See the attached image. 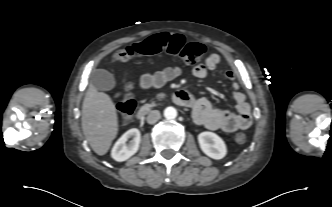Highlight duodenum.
<instances>
[{
  "label": "duodenum",
  "instance_id": "duodenum-1",
  "mask_svg": "<svg viewBox=\"0 0 332 207\" xmlns=\"http://www.w3.org/2000/svg\"><path fill=\"white\" fill-rule=\"evenodd\" d=\"M172 100L179 106L192 107L194 104V97L186 90H178L172 95ZM153 104L149 103L142 106L137 112L136 118L138 120H144L147 114L151 111Z\"/></svg>",
  "mask_w": 332,
  "mask_h": 207
}]
</instances>
